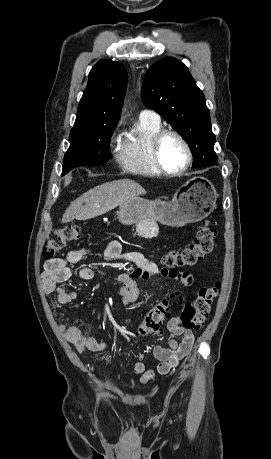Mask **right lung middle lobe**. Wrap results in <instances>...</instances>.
<instances>
[{"instance_id":"obj_1","label":"right lung middle lobe","mask_w":271,"mask_h":459,"mask_svg":"<svg viewBox=\"0 0 271 459\" xmlns=\"http://www.w3.org/2000/svg\"><path fill=\"white\" fill-rule=\"evenodd\" d=\"M118 120L107 117L76 118L62 175L77 166L99 165L108 161L111 158L110 138Z\"/></svg>"}]
</instances>
